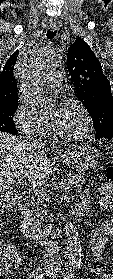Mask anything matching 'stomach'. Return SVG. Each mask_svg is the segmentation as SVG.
<instances>
[{
  "label": "stomach",
  "instance_id": "stomach-1",
  "mask_svg": "<svg viewBox=\"0 0 113 279\" xmlns=\"http://www.w3.org/2000/svg\"><path fill=\"white\" fill-rule=\"evenodd\" d=\"M101 153L91 145H82L73 148L64 155L65 164L75 171H83L99 165Z\"/></svg>",
  "mask_w": 113,
  "mask_h": 279
}]
</instances>
